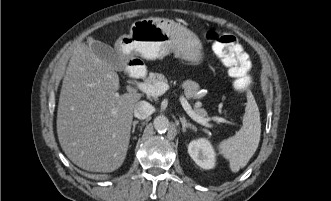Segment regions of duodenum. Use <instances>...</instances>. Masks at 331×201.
<instances>
[{"label":"duodenum","instance_id":"obj_1","mask_svg":"<svg viewBox=\"0 0 331 201\" xmlns=\"http://www.w3.org/2000/svg\"><path fill=\"white\" fill-rule=\"evenodd\" d=\"M127 73L133 78H142L145 75L146 67L143 61L137 57L131 58L127 61Z\"/></svg>","mask_w":331,"mask_h":201}]
</instances>
